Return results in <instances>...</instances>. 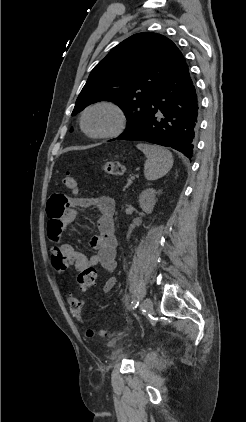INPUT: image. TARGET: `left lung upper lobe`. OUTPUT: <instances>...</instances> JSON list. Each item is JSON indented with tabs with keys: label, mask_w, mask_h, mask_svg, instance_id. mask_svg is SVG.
I'll use <instances>...</instances> for the list:
<instances>
[{
	"label": "left lung upper lobe",
	"mask_w": 246,
	"mask_h": 422,
	"mask_svg": "<svg viewBox=\"0 0 246 422\" xmlns=\"http://www.w3.org/2000/svg\"><path fill=\"white\" fill-rule=\"evenodd\" d=\"M181 51L167 37L137 33L114 47L92 70L72 115L89 104L112 101L127 118L126 133L143 119L148 104L166 78L177 68Z\"/></svg>",
	"instance_id": "1"
}]
</instances>
